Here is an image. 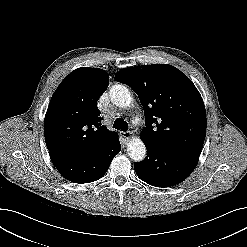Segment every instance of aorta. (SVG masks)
I'll use <instances>...</instances> for the list:
<instances>
[{"mask_svg":"<svg viewBox=\"0 0 247 247\" xmlns=\"http://www.w3.org/2000/svg\"><path fill=\"white\" fill-rule=\"evenodd\" d=\"M111 102L120 108H127L131 101V93L124 85L112 86L109 91ZM127 153L135 162L142 161L146 156V147L139 137L132 138L127 145Z\"/></svg>","mask_w":247,"mask_h":247,"instance_id":"obj_1","label":"aorta"}]
</instances>
